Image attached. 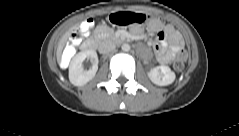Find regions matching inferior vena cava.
<instances>
[{
  "instance_id": "obj_1",
  "label": "inferior vena cava",
  "mask_w": 239,
  "mask_h": 136,
  "mask_svg": "<svg viewBox=\"0 0 239 136\" xmlns=\"http://www.w3.org/2000/svg\"><path fill=\"white\" fill-rule=\"evenodd\" d=\"M116 45L113 41L111 40H103L102 42H100L99 47H98V51L101 54H106L109 52H112L113 50H115Z\"/></svg>"
}]
</instances>
